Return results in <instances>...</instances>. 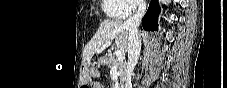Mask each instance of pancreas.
I'll list each match as a JSON object with an SVG mask.
<instances>
[{
  "instance_id": "pancreas-1",
  "label": "pancreas",
  "mask_w": 227,
  "mask_h": 88,
  "mask_svg": "<svg viewBox=\"0 0 227 88\" xmlns=\"http://www.w3.org/2000/svg\"><path fill=\"white\" fill-rule=\"evenodd\" d=\"M106 65L108 67H116L118 70V75L121 81L125 80L126 76V63L123 61H117L113 56L109 55L106 58Z\"/></svg>"
}]
</instances>
